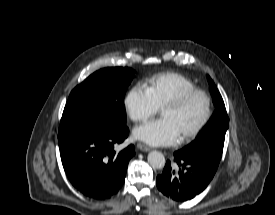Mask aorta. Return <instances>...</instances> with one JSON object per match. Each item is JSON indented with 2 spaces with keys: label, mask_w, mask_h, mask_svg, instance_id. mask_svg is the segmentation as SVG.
<instances>
[{
  "label": "aorta",
  "mask_w": 275,
  "mask_h": 215,
  "mask_svg": "<svg viewBox=\"0 0 275 215\" xmlns=\"http://www.w3.org/2000/svg\"><path fill=\"white\" fill-rule=\"evenodd\" d=\"M148 163L156 169H161L165 165V157L159 151H152L148 154Z\"/></svg>",
  "instance_id": "aorta-1"
}]
</instances>
